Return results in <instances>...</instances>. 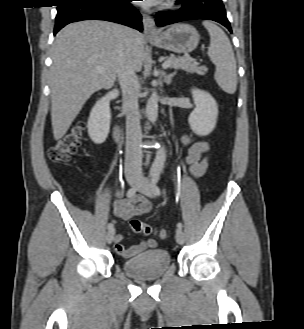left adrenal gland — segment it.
<instances>
[{
    "instance_id": "left-adrenal-gland-1",
    "label": "left adrenal gland",
    "mask_w": 304,
    "mask_h": 329,
    "mask_svg": "<svg viewBox=\"0 0 304 329\" xmlns=\"http://www.w3.org/2000/svg\"><path fill=\"white\" fill-rule=\"evenodd\" d=\"M175 74H176L175 72H172V73L166 75V73L164 71H162V75L164 77V81H165V83L167 85H169L171 83L172 78L175 76Z\"/></svg>"
}]
</instances>
